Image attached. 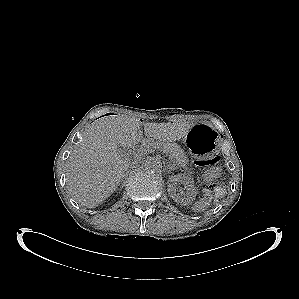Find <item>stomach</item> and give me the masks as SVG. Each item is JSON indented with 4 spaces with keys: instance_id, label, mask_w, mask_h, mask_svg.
<instances>
[{
    "instance_id": "0dacf381",
    "label": "stomach",
    "mask_w": 299,
    "mask_h": 299,
    "mask_svg": "<svg viewBox=\"0 0 299 299\" xmlns=\"http://www.w3.org/2000/svg\"><path fill=\"white\" fill-rule=\"evenodd\" d=\"M215 129L206 122L191 126L184 135L186 150L198 160H213L220 151V142Z\"/></svg>"
}]
</instances>
